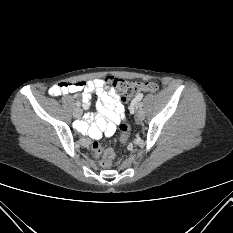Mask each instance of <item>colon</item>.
<instances>
[{
  "instance_id": "1",
  "label": "colon",
  "mask_w": 233,
  "mask_h": 233,
  "mask_svg": "<svg viewBox=\"0 0 233 233\" xmlns=\"http://www.w3.org/2000/svg\"><path fill=\"white\" fill-rule=\"evenodd\" d=\"M106 84L117 94L121 95V101L128 103L134 96L143 92H155L157 85L152 82H135L128 81L117 77H108ZM120 142L125 145L130 136V126L128 123L123 122L120 125ZM92 152L95 156H101V164L108 167L112 164L114 152L111 149H103L98 141H93L91 145Z\"/></svg>"
}]
</instances>
